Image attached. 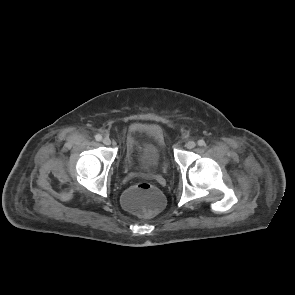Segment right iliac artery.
<instances>
[{"mask_svg": "<svg viewBox=\"0 0 295 295\" xmlns=\"http://www.w3.org/2000/svg\"><path fill=\"white\" fill-rule=\"evenodd\" d=\"M95 139H96L97 141H101V140H102V136H101L100 134H97V135L95 136Z\"/></svg>", "mask_w": 295, "mask_h": 295, "instance_id": "obj_1", "label": "right iliac artery"}]
</instances>
